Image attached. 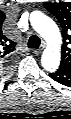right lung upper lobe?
<instances>
[{
	"instance_id": "obj_1",
	"label": "right lung upper lobe",
	"mask_w": 71,
	"mask_h": 119,
	"mask_svg": "<svg viewBox=\"0 0 71 119\" xmlns=\"http://www.w3.org/2000/svg\"><path fill=\"white\" fill-rule=\"evenodd\" d=\"M3 17L5 18V15H3ZM1 42L3 44L5 54H10L15 50L16 44L5 36L1 37Z\"/></svg>"
}]
</instances>
